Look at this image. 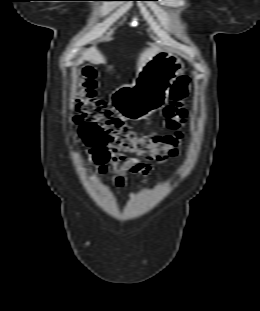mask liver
Listing matches in <instances>:
<instances>
[{
    "label": "liver",
    "instance_id": "liver-1",
    "mask_svg": "<svg viewBox=\"0 0 260 311\" xmlns=\"http://www.w3.org/2000/svg\"><path fill=\"white\" fill-rule=\"evenodd\" d=\"M161 49L155 44H150V47L144 49V51L139 55L137 61V72H139L148 61H150ZM89 60L94 64H100L105 62L104 56L96 49V47H90L87 49L78 60V64L83 63V61Z\"/></svg>",
    "mask_w": 260,
    "mask_h": 311
}]
</instances>
